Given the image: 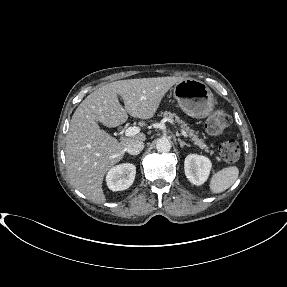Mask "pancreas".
Listing matches in <instances>:
<instances>
[{
    "instance_id": "cf45deb5",
    "label": "pancreas",
    "mask_w": 287,
    "mask_h": 287,
    "mask_svg": "<svg viewBox=\"0 0 287 287\" xmlns=\"http://www.w3.org/2000/svg\"><path fill=\"white\" fill-rule=\"evenodd\" d=\"M161 115L170 120L175 119V122L178 123L183 131H185L191 140L197 145L200 149H203L205 152L210 153L211 155L214 153L209 147L204 143L203 139H199L197 133L194 132L183 120H181L175 113H171L170 111H164ZM219 159V157H216Z\"/></svg>"
}]
</instances>
